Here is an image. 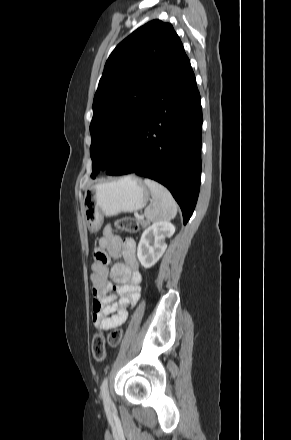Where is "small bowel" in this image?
I'll list each match as a JSON object with an SVG mask.
<instances>
[{
  "instance_id": "small-bowel-1",
  "label": "small bowel",
  "mask_w": 291,
  "mask_h": 440,
  "mask_svg": "<svg viewBox=\"0 0 291 440\" xmlns=\"http://www.w3.org/2000/svg\"><path fill=\"white\" fill-rule=\"evenodd\" d=\"M109 258H122L123 262L109 268ZM89 277L94 293L92 319L95 326L104 331L124 324L130 309L140 298L141 274L135 240L131 237L120 240L107 227L94 250ZM111 290L113 293L107 294Z\"/></svg>"
}]
</instances>
